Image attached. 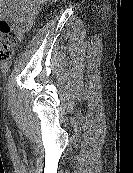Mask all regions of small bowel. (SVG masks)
Segmentation results:
<instances>
[{
    "label": "small bowel",
    "mask_w": 133,
    "mask_h": 173,
    "mask_svg": "<svg viewBox=\"0 0 133 173\" xmlns=\"http://www.w3.org/2000/svg\"><path fill=\"white\" fill-rule=\"evenodd\" d=\"M40 5L41 0H0V20H10L22 36L32 27Z\"/></svg>",
    "instance_id": "small-bowel-1"
}]
</instances>
